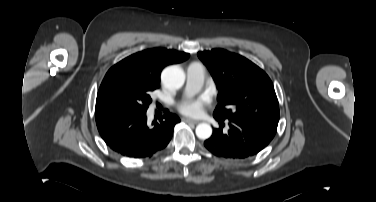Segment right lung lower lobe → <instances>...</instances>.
I'll return each instance as SVG.
<instances>
[{
  "label": "right lung lower lobe",
  "instance_id": "obj_1",
  "mask_svg": "<svg viewBox=\"0 0 376 202\" xmlns=\"http://www.w3.org/2000/svg\"><path fill=\"white\" fill-rule=\"evenodd\" d=\"M159 121H153V127H148L146 112H110L96 116L97 128L105 143L131 158L151 156L167 146L180 119L165 110Z\"/></svg>",
  "mask_w": 376,
  "mask_h": 202
}]
</instances>
